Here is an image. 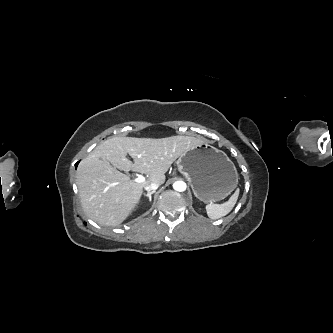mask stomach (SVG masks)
I'll return each mask as SVG.
<instances>
[{
    "mask_svg": "<svg viewBox=\"0 0 333 333\" xmlns=\"http://www.w3.org/2000/svg\"><path fill=\"white\" fill-rule=\"evenodd\" d=\"M176 163L179 172L190 182L196 198L204 203L225 199L237 186L234 163L226 153L206 143L189 149Z\"/></svg>",
    "mask_w": 333,
    "mask_h": 333,
    "instance_id": "1",
    "label": "stomach"
}]
</instances>
